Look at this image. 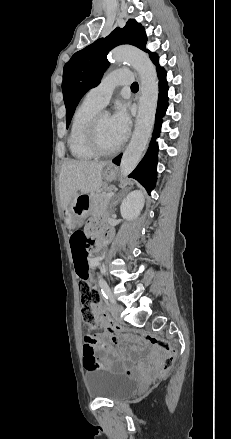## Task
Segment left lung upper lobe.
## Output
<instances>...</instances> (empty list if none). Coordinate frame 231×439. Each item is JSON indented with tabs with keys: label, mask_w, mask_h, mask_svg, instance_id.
<instances>
[{
	"label": "left lung upper lobe",
	"mask_w": 231,
	"mask_h": 439,
	"mask_svg": "<svg viewBox=\"0 0 231 439\" xmlns=\"http://www.w3.org/2000/svg\"><path fill=\"white\" fill-rule=\"evenodd\" d=\"M146 42L143 27L134 19H130L124 28H116L106 38L98 39L71 57L64 66L62 82L67 127L81 98L89 89L100 83L104 71L109 66L108 52L121 44L134 45L147 51ZM153 55L155 53L150 57Z\"/></svg>",
	"instance_id": "left-lung-upper-lobe-1"
}]
</instances>
